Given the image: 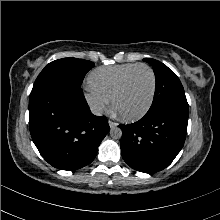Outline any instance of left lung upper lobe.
Segmentation results:
<instances>
[{"label":"left lung upper lobe","mask_w":220,"mask_h":220,"mask_svg":"<svg viewBox=\"0 0 220 220\" xmlns=\"http://www.w3.org/2000/svg\"><path fill=\"white\" fill-rule=\"evenodd\" d=\"M153 66L156 88L152 105L148 111L172 108L188 114V103L183 86L175 73L166 65L154 59H143Z\"/></svg>","instance_id":"5c2ea615"}]
</instances>
